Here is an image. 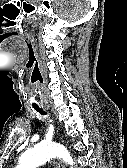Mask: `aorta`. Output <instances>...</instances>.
<instances>
[{"label":"aorta","instance_id":"1","mask_svg":"<svg viewBox=\"0 0 127 168\" xmlns=\"http://www.w3.org/2000/svg\"><path fill=\"white\" fill-rule=\"evenodd\" d=\"M62 158L65 163L73 166V159L68 150L56 143H39L26 150L16 168H36L53 158Z\"/></svg>","mask_w":127,"mask_h":168}]
</instances>
